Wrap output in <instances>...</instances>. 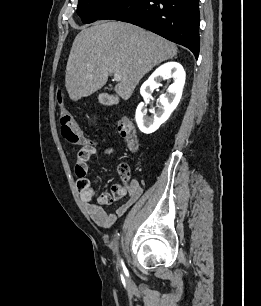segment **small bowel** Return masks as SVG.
Here are the masks:
<instances>
[{
    "mask_svg": "<svg viewBox=\"0 0 261 306\" xmlns=\"http://www.w3.org/2000/svg\"><path fill=\"white\" fill-rule=\"evenodd\" d=\"M93 146V145H92ZM115 149L113 147H108L105 149V154H113ZM95 153V148L93 146L92 153L86 158H78L75 172L78 181L86 180L89 183V187L86 189H79L80 199L85 205V208L93 219V221L104 228L111 227L115 221L121 217L141 196L143 188L137 180H132L128 186L116 185L112 189H120L121 196L127 194V199L120 206H118L114 212H108L100 202H93V192L90 188V181L87 177L88 166L87 160Z\"/></svg>",
    "mask_w": 261,
    "mask_h": 306,
    "instance_id": "1",
    "label": "small bowel"
}]
</instances>
